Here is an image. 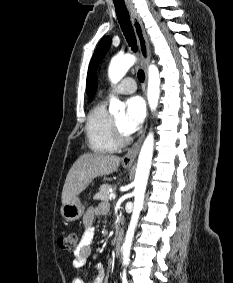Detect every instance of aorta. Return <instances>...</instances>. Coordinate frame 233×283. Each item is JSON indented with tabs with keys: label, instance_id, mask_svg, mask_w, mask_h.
Listing matches in <instances>:
<instances>
[{
	"label": "aorta",
	"instance_id": "762f6f07",
	"mask_svg": "<svg viewBox=\"0 0 233 283\" xmlns=\"http://www.w3.org/2000/svg\"><path fill=\"white\" fill-rule=\"evenodd\" d=\"M136 62V57L131 54L115 56L112 58L108 76L113 84L118 83L127 73L129 68ZM160 96V76L159 70L155 65L148 67V89L147 99L151 111H155L158 106ZM125 105L119 99L112 97L109 105V112L116 114L124 112ZM154 149V134L149 132L140 150L138 163L136 168L134 180V205L131 221L126 233L125 241L123 244V263L128 264L130 257V249L134 232L138 223L140 212L143 208L144 195L146 191L147 181L151 168V161Z\"/></svg>",
	"mask_w": 233,
	"mask_h": 283
}]
</instances>
